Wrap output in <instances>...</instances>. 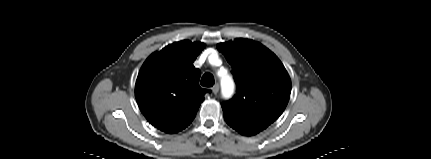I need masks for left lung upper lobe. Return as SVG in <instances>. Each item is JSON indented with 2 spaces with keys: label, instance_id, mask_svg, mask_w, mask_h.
I'll list each match as a JSON object with an SVG mask.
<instances>
[{
  "label": "left lung upper lobe",
  "instance_id": "5c2ea615",
  "mask_svg": "<svg viewBox=\"0 0 431 159\" xmlns=\"http://www.w3.org/2000/svg\"><path fill=\"white\" fill-rule=\"evenodd\" d=\"M232 66L236 95L222 105L228 125L240 133H258L284 111L291 80L277 56L262 44L239 38L217 44Z\"/></svg>",
  "mask_w": 431,
  "mask_h": 159
}]
</instances>
